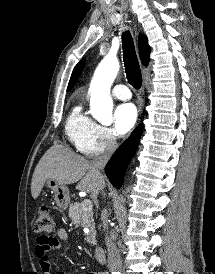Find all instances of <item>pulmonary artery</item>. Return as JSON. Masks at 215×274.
<instances>
[{"label":"pulmonary artery","instance_id":"pulmonary-artery-1","mask_svg":"<svg viewBox=\"0 0 215 274\" xmlns=\"http://www.w3.org/2000/svg\"><path fill=\"white\" fill-rule=\"evenodd\" d=\"M112 94L120 100H129L131 98L130 90L122 84L115 85L112 89Z\"/></svg>","mask_w":215,"mask_h":274}]
</instances>
